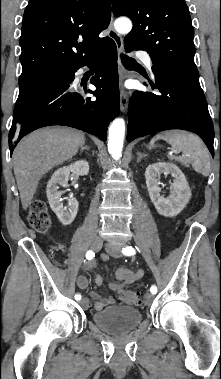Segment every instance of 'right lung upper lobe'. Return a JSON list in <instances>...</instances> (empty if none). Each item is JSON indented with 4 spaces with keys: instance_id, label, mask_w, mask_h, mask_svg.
I'll use <instances>...</instances> for the list:
<instances>
[{
    "instance_id": "cb5924a9",
    "label": "right lung upper lobe",
    "mask_w": 221,
    "mask_h": 379,
    "mask_svg": "<svg viewBox=\"0 0 221 379\" xmlns=\"http://www.w3.org/2000/svg\"><path fill=\"white\" fill-rule=\"evenodd\" d=\"M110 19L111 0H30L22 21L19 81L96 55L109 41L98 35Z\"/></svg>"
}]
</instances>
